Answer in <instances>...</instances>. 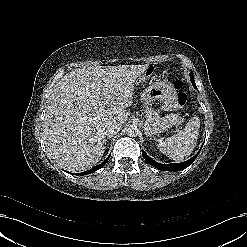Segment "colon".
<instances>
[{"label": "colon", "instance_id": "5ec220e1", "mask_svg": "<svg viewBox=\"0 0 247 247\" xmlns=\"http://www.w3.org/2000/svg\"><path fill=\"white\" fill-rule=\"evenodd\" d=\"M174 87L177 91L176 104L179 108L183 107L187 101V95L183 90V83L180 80L174 82Z\"/></svg>", "mask_w": 247, "mask_h": 247}]
</instances>
